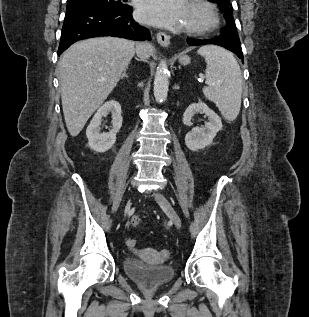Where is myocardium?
Segmentation results:
<instances>
[{"mask_svg": "<svg viewBox=\"0 0 309 317\" xmlns=\"http://www.w3.org/2000/svg\"><path fill=\"white\" fill-rule=\"evenodd\" d=\"M190 7L204 15L205 20L199 24L186 25L184 31L189 35H205L214 31L220 22L215 7L206 0H192Z\"/></svg>", "mask_w": 309, "mask_h": 317, "instance_id": "f54148a6", "label": "myocardium"}]
</instances>
